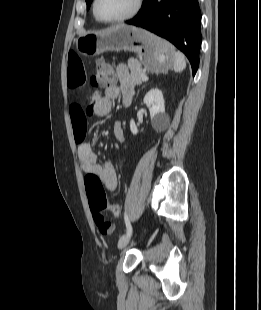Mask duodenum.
I'll list each match as a JSON object with an SVG mask.
<instances>
[{
  "instance_id": "obj_1",
  "label": "duodenum",
  "mask_w": 261,
  "mask_h": 310,
  "mask_svg": "<svg viewBox=\"0 0 261 310\" xmlns=\"http://www.w3.org/2000/svg\"><path fill=\"white\" fill-rule=\"evenodd\" d=\"M125 104H126V105L130 104V100H126V101H125Z\"/></svg>"
}]
</instances>
